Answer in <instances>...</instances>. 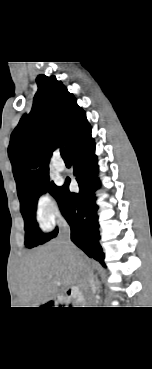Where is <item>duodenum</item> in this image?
Here are the masks:
<instances>
[{"instance_id": "410a0bca", "label": "duodenum", "mask_w": 152, "mask_h": 369, "mask_svg": "<svg viewBox=\"0 0 152 369\" xmlns=\"http://www.w3.org/2000/svg\"><path fill=\"white\" fill-rule=\"evenodd\" d=\"M66 298L69 301L76 303H83L84 296L78 288H71L66 291Z\"/></svg>"}]
</instances>
